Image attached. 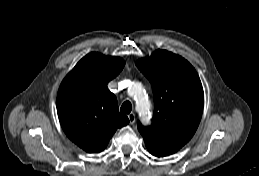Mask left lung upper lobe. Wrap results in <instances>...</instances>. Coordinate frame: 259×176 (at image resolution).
Wrapping results in <instances>:
<instances>
[{"label":"left lung upper lobe","instance_id":"obj_1","mask_svg":"<svg viewBox=\"0 0 259 176\" xmlns=\"http://www.w3.org/2000/svg\"><path fill=\"white\" fill-rule=\"evenodd\" d=\"M136 65L154 94L152 124L138 123V130L152 155L168 156L184 146L199 125L204 104L200 78L187 60L166 50L159 49Z\"/></svg>","mask_w":259,"mask_h":176}]
</instances>
